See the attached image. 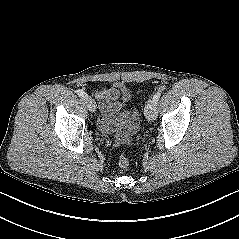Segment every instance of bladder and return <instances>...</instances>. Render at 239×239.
Masks as SVG:
<instances>
[{
    "instance_id": "obj_1",
    "label": "bladder",
    "mask_w": 239,
    "mask_h": 239,
    "mask_svg": "<svg viewBox=\"0 0 239 239\" xmlns=\"http://www.w3.org/2000/svg\"><path fill=\"white\" fill-rule=\"evenodd\" d=\"M119 99L123 102L129 101V89L126 86L121 87L119 91ZM138 127H139V115L136 110H133L126 120L125 132L128 135H134L136 134Z\"/></svg>"
}]
</instances>
